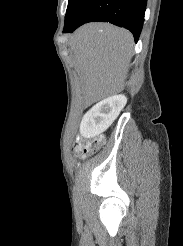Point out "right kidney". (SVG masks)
I'll use <instances>...</instances> for the list:
<instances>
[{"instance_id":"ca27d5eb","label":"right kidney","mask_w":183,"mask_h":246,"mask_svg":"<svg viewBox=\"0 0 183 246\" xmlns=\"http://www.w3.org/2000/svg\"><path fill=\"white\" fill-rule=\"evenodd\" d=\"M127 103L124 95L110 96L93 106L83 117L80 133L83 137L98 136L107 130Z\"/></svg>"}]
</instances>
